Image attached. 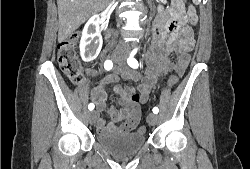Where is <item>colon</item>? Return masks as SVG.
Returning <instances> with one entry per match:
<instances>
[{
  "instance_id": "5ec220e1",
  "label": "colon",
  "mask_w": 250,
  "mask_h": 169,
  "mask_svg": "<svg viewBox=\"0 0 250 169\" xmlns=\"http://www.w3.org/2000/svg\"><path fill=\"white\" fill-rule=\"evenodd\" d=\"M186 2L185 0L183 1ZM190 15H194V10H189ZM80 37L79 35L77 36ZM78 38L75 34H70V38L60 39L57 45L58 64L65 76L75 85H79L84 80V71L81 62L76 54V44ZM177 75H172L168 80V87L178 86ZM131 100H140V91H131ZM145 131V127L141 128Z\"/></svg>"
}]
</instances>
